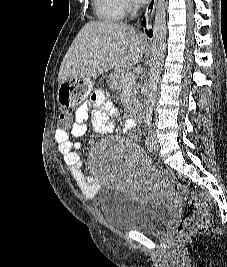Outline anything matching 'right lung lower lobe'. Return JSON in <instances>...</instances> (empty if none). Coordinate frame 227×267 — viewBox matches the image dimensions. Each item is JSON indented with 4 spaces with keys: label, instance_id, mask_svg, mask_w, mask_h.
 Returning <instances> with one entry per match:
<instances>
[{
    "label": "right lung lower lobe",
    "instance_id": "98d812e1",
    "mask_svg": "<svg viewBox=\"0 0 227 267\" xmlns=\"http://www.w3.org/2000/svg\"><path fill=\"white\" fill-rule=\"evenodd\" d=\"M143 25L144 26L146 25V21L145 20H143ZM147 34H148L149 37H152V30L147 31Z\"/></svg>",
    "mask_w": 227,
    "mask_h": 267
}]
</instances>
